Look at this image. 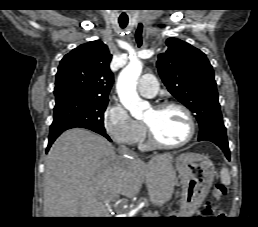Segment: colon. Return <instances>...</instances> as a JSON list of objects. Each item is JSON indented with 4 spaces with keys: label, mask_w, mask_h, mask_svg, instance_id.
<instances>
[{
    "label": "colon",
    "mask_w": 258,
    "mask_h": 227,
    "mask_svg": "<svg viewBox=\"0 0 258 227\" xmlns=\"http://www.w3.org/2000/svg\"><path fill=\"white\" fill-rule=\"evenodd\" d=\"M213 195L216 198H222L226 195L227 193V188L224 184L221 183H216L213 187Z\"/></svg>",
    "instance_id": "colon-1"
}]
</instances>
